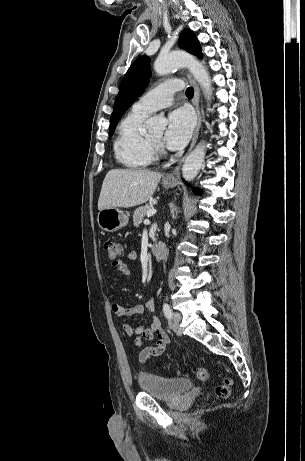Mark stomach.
Wrapping results in <instances>:
<instances>
[{
    "instance_id": "1",
    "label": "stomach",
    "mask_w": 305,
    "mask_h": 461,
    "mask_svg": "<svg viewBox=\"0 0 305 461\" xmlns=\"http://www.w3.org/2000/svg\"><path fill=\"white\" fill-rule=\"evenodd\" d=\"M174 183L163 182L165 188H171ZM99 227L106 232H116L128 224V216L119 208L100 210L97 217Z\"/></svg>"
}]
</instances>
